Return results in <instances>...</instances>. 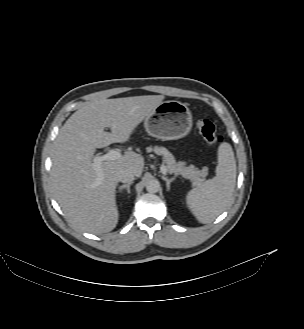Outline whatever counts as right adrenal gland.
I'll return each instance as SVG.
<instances>
[{"instance_id": "right-adrenal-gland-1", "label": "right adrenal gland", "mask_w": 304, "mask_h": 329, "mask_svg": "<svg viewBox=\"0 0 304 329\" xmlns=\"http://www.w3.org/2000/svg\"><path fill=\"white\" fill-rule=\"evenodd\" d=\"M132 182H129L128 184H124V185H121L119 187V192H122L123 189H126L127 193L130 194V186H131Z\"/></svg>"}]
</instances>
